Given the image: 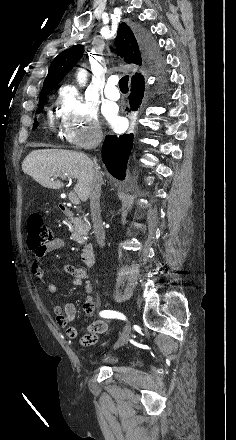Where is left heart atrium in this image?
I'll return each mask as SVG.
<instances>
[{
  "instance_id": "obj_1",
  "label": "left heart atrium",
  "mask_w": 236,
  "mask_h": 440,
  "mask_svg": "<svg viewBox=\"0 0 236 440\" xmlns=\"http://www.w3.org/2000/svg\"><path fill=\"white\" fill-rule=\"evenodd\" d=\"M108 119L113 126H117L119 124V120L114 113L109 115Z\"/></svg>"
}]
</instances>
